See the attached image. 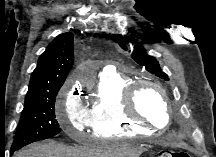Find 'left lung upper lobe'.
<instances>
[{
  "mask_svg": "<svg viewBox=\"0 0 216 157\" xmlns=\"http://www.w3.org/2000/svg\"><path fill=\"white\" fill-rule=\"evenodd\" d=\"M119 45L122 49L127 50V47L124 43H120ZM131 57L139 65L144 66L145 69L151 74L163 78L164 80H168L167 74L162 71L158 61L154 57L149 56L144 48H142L139 44L134 46V49L131 52Z\"/></svg>",
  "mask_w": 216,
  "mask_h": 157,
  "instance_id": "1",
  "label": "left lung upper lobe"
}]
</instances>
